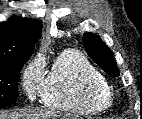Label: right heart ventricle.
<instances>
[{
  "label": "right heart ventricle",
  "instance_id": "obj_1",
  "mask_svg": "<svg viewBox=\"0 0 142 119\" xmlns=\"http://www.w3.org/2000/svg\"><path fill=\"white\" fill-rule=\"evenodd\" d=\"M109 92L103 74L79 51H63L44 77L40 90L42 102L82 115H96L104 108L99 95Z\"/></svg>",
  "mask_w": 142,
  "mask_h": 119
}]
</instances>
